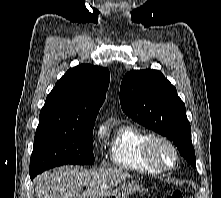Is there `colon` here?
I'll return each mask as SVG.
<instances>
[{
    "instance_id": "obj_1",
    "label": "colon",
    "mask_w": 221,
    "mask_h": 198,
    "mask_svg": "<svg viewBox=\"0 0 221 198\" xmlns=\"http://www.w3.org/2000/svg\"><path fill=\"white\" fill-rule=\"evenodd\" d=\"M167 198H185V195L180 190H174Z\"/></svg>"
}]
</instances>
